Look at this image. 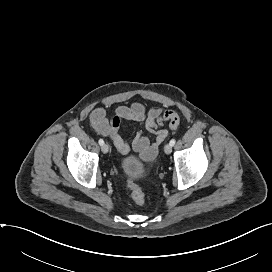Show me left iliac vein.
<instances>
[{"instance_id":"1","label":"left iliac vein","mask_w":272,"mask_h":272,"mask_svg":"<svg viewBox=\"0 0 272 272\" xmlns=\"http://www.w3.org/2000/svg\"><path fill=\"white\" fill-rule=\"evenodd\" d=\"M164 152L170 154L172 152V146L170 144L165 145Z\"/></svg>"}]
</instances>
